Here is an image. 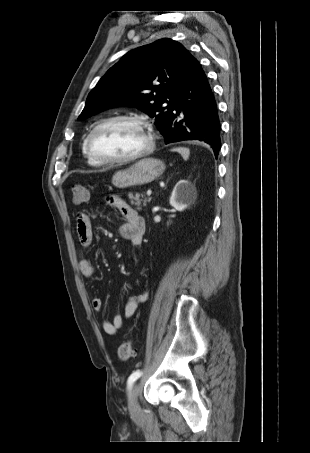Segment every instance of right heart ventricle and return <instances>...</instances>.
<instances>
[{
  "label": "right heart ventricle",
  "mask_w": 310,
  "mask_h": 453,
  "mask_svg": "<svg viewBox=\"0 0 310 453\" xmlns=\"http://www.w3.org/2000/svg\"><path fill=\"white\" fill-rule=\"evenodd\" d=\"M82 152L84 154V156L86 157L87 159V163L92 166V167H100L102 166L103 164L95 161L89 154H88V151L86 149V138L84 139L83 143H82Z\"/></svg>",
  "instance_id": "1"
}]
</instances>
